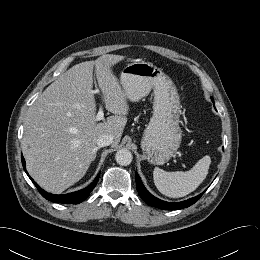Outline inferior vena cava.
<instances>
[{
    "label": "inferior vena cava",
    "mask_w": 260,
    "mask_h": 260,
    "mask_svg": "<svg viewBox=\"0 0 260 260\" xmlns=\"http://www.w3.org/2000/svg\"><path fill=\"white\" fill-rule=\"evenodd\" d=\"M113 143V136L111 134H102L97 139L98 147L109 146Z\"/></svg>",
    "instance_id": "602c4592"
}]
</instances>
